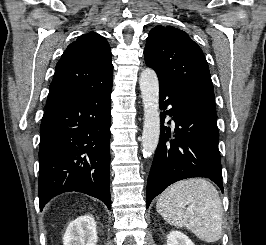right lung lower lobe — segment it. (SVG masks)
Returning <instances> with one entry per match:
<instances>
[{
  "label": "right lung lower lobe",
  "mask_w": 266,
  "mask_h": 245,
  "mask_svg": "<svg viewBox=\"0 0 266 245\" xmlns=\"http://www.w3.org/2000/svg\"><path fill=\"white\" fill-rule=\"evenodd\" d=\"M112 85L85 90L46 110L40 127L39 202L70 191L111 208L109 189Z\"/></svg>",
  "instance_id": "obj_1"
}]
</instances>
